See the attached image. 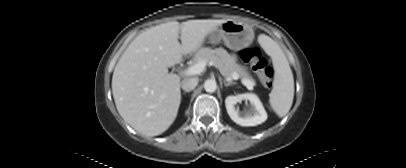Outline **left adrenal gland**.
I'll return each mask as SVG.
<instances>
[{
  "label": "left adrenal gland",
  "mask_w": 406,
  "mask_h": 168,
  "mask_svg": "<svg viewBox=\"0 0 406 168\" xmlns=\"http://www.w3.org/2000/svg\"><path fill=\"white\" fill-rule=\"evenodd\" d=\"M235 84H236L235 82L224 80V85H225L226 87L231 86V85H235Z\"/></svg>",
  "instance_id": "1"
}]
</instances>
